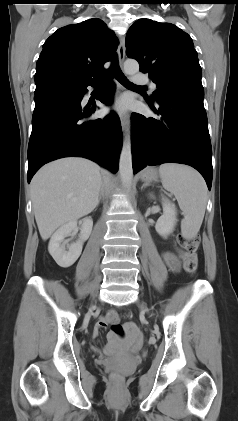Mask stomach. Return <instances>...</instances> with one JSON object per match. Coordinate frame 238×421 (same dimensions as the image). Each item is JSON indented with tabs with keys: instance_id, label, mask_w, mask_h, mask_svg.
<instances>
[{
	"instance_id": "obj_1",
	"label": "stomach",
	"mask_w": 238,
	"mask_h": 421,
	"mask_svg": "<svg viewBox=\"0 0 238 421\" xmlns=\"http://www.w3.org/2000/svg\"><path fill=\"white\" fill-rule=\"evenodd\" d=\"M142 180L150 182V181H157L159 178V174L157 169L155 168H147L141 175Z\"/></svg>"
}]
</instances>
